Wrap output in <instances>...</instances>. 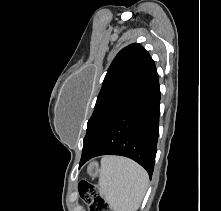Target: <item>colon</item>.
<instances>
[{
    "label": "colon",
    "mask_w": 221,
    "mask_h": 211,
    "mask_svg": "<svg viewBox=\"0 0 221 211\" xmlns=\"http://www.w3.org/2000/svg\"><path fill=\"white\" fill-rule=\"evenodd\" d=\"M78 191L89 211H112L110 204L96 185L81 181L78 185Z\"/></svg>",
    "instance_id": "colon-1"
}]
</instances>
